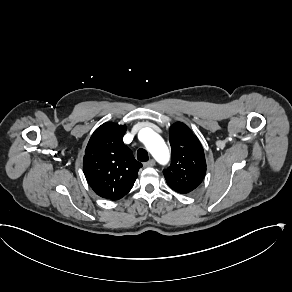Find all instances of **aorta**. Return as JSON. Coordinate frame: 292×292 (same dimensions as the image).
Instances as JSON below:
<instances>
[{
	"mask_svg": "<svg viewBox=\"0 0 292 292\" xmlns=\"http://www.w3.org/2000/svg\"><path fill=\"white\" fill-rule=\"evenodd\" d=\"M143 131L146 132L145 143L148 150L159 162H166L168 159V148L163 139L155 135L149 128H145Z\"/></svg>",
	"mask_w": 292,
	"mask_h": 292,
	"instance_id": "obj_1",
	"label": "aorta"
}]
</instances>
